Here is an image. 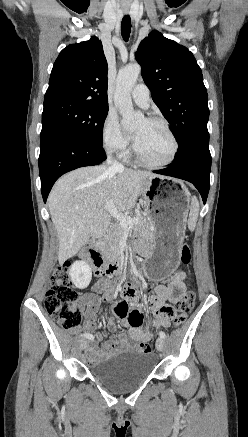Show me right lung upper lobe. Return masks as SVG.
<instances>
[{
  "mask_svg": "<svg viewBox=\"0 0 248 437\" xmlns=\"http://www.w3.org/2000/svg\"><path fill=\"white\" fill-rule=\"evenodd\" d=\"M107 71L98 38L69 45L54 63L44 100L64 98L108 107Z\"/></svg>",
  "mask_w": 248,
  "mask_h": 437,
  "instance_id": "1",
  "label": "right lung upper lobe"
}]
</instances>
